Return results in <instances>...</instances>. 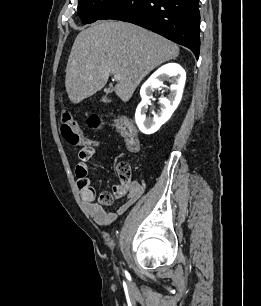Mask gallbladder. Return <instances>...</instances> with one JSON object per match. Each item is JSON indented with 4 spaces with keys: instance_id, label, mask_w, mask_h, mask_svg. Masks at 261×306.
Returning a JSON list of instances; mask_svg holds the SVG:
<instances>
[{
    "instance_id": "1",
    "label": "gallbladder",
    "mask_w": 261,
    "mask_h": 306,
    "mask_svg": "<svg viewBox=\"0 0 261 306\" xmlns=\"http://www.w3.org/2000/svg\"><path fill=\"white\" fill-rule=\"evenodd\" d=\"M112 90H113L112 87H109L108 89H106V93L109 94L112 92Z\"/></svg>"
}]
</instances>
